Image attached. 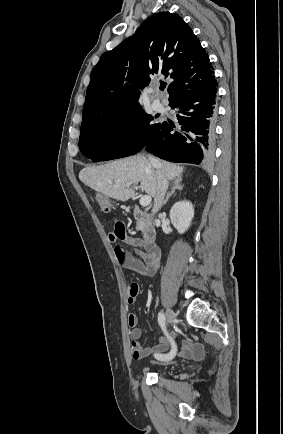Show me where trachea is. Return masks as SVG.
<instances>
[{"label":"trachea","instance_id":"3493384b","mask_svg":"<svg viewBox=\"0 0 283 434\" xmlns=\"http://www.w3.org/2000/svg\"><path fill=\"white\" fill-rule=\"evenodd\" d=\"M165 85H160V90H164Z\"/></svg>","mask_w":283,"mask_h":434}]
</instances>
